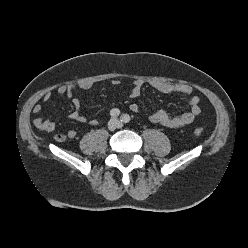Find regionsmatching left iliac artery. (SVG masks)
Wrapping results in <instances>:
<instances>
[{
	"label": "left iliac artery",
	"mask_w": 248,
	"mask_h": 248,
	"mask_svg": "<svg viewBox=\"0 0 248 248\" xmlns=\"http://www.w3.org/2000/svg\"><path fill=\"white\" fill-rule=\"evenodd\" d=\"M130 120H131V119H130V116L127 115V114H123V115L121 116V121L124 122V123H129Z\"/></svg>",
	"instance_id": "44dca946"
}]
</instances>
